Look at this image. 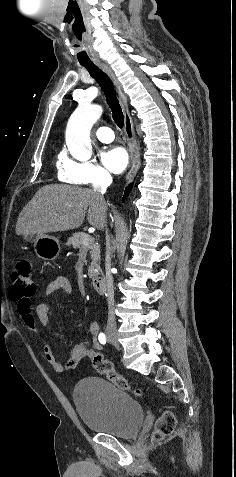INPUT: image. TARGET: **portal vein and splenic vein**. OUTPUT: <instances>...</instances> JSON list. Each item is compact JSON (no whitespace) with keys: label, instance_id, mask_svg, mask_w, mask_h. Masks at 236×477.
<instances>
[{"label":"portal vein and splenic vein","instance_id":"obj_1","mask_svg":"<svg viewBox=\"0 0 236 477\" xmlns=\"http://www.w3.org/2000/svg\"><path fill=\"white\" fill-rule=\"evenodd\" d=\"M92 240H93V238L91 236L85 238L83 240V245H85V246L88 245Z\"/></svg>","mask_w":236,"mask_h":477}]
</instances>
